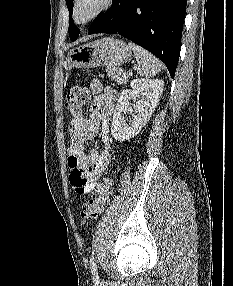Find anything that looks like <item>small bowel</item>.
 <instances>
[{"mask_svg":"<svg viewBox=\"0 0 233 286\" xmlns=\"http://www.w3.org/2000/svg\"><path fill=\"white\" fill-rule=\"evenodd\" d=\"M94 95L88 116L74 117L69 124L70 142L67 165L69 181L79 195L93 191L111 162L110 119L117 93L94 79L90 83ZM100 133L103 148L88 147Z\"/></svg>","mask_w":233,"mask_h":286,"instance_id":"c3829d8e","label":"small bowel"}]
</instances>
